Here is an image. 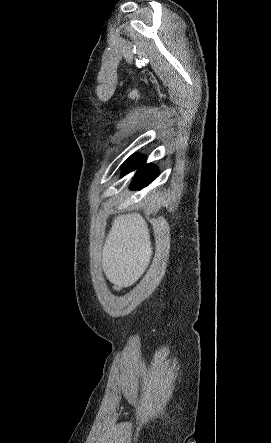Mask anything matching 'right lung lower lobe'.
Returning a JSON list of instances; mask_svg holds the SVG:
<instances>
[{
    "label": "right lung lower lobe",
    "instance_id": "obj_1",
    "mask_svg": "<svg viewBox=\"0 0 271 443\" xmlns=\"http://www.w3.org/2000/svg\"><path fill=\"white\" fill-rule=\"evenodd\" d=\"M135 168H139V170L131 183V189H141L147 186L159 174L157 167L145 164V157L134 154L123 165V174L129 173Z\"/></svg>",
    "mask_w": 271,
    "mask_h": 443
}]
</instances>
